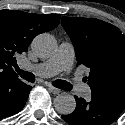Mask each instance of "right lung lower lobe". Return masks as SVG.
Masks as SVG:
<instances>
[{
    "label": "right lung lower lobe",
    "mask_w": 125,
    "mask_h": 125,
    "mask_svg": "<svg viewBox=\"0 0 125 125\" xmlns=\"http://www.w3.org/2000/svg\"><path fill=\"white\" fill-rule=\"evenodd\" d=\"M31 89L18 78L0 82V119L20 112Z\"/></svg>",
    "instance_id": "98d812e1"
}]
</instances>
